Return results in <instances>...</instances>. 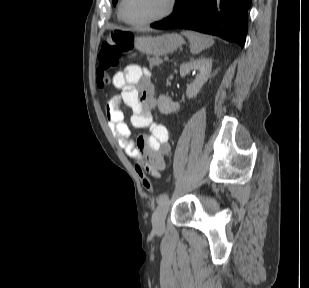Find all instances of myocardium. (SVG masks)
<instances>
[{"label": "myocardium", "mask_w": 309, "mask_h": 288, "mask_svg": "<svg viewBox=\"0 0 309 288\" xmlns=\"http://www.w3.org/2000/svg\"><path fill=\"white\" fill-rule=\"evenodd\" d=\"M125 2H126V0L120 1L119 8H118L119 17L122 19L123 22H125L127 25L132 26V27H146V26L156 24L160 21H163L164 19L171 16L174 13V11L177 7V0H168L167 9L163 13H161L160 15H158L154 18L148 19V20L135 22V21H131V20L126 18L125 14H124V4H125Z\"/></svg>", "instance_id": "obj_1"}]
</instances>
